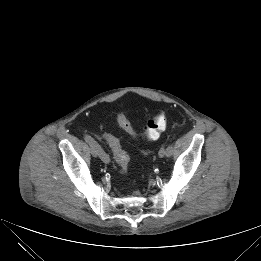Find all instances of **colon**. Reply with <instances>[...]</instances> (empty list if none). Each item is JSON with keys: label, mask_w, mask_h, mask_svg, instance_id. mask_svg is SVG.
<instances>
[{"label": "colon", "mask_w": 261, "mask_h": 261, "mask_svg": "<svg viewBox=\"0 0 261 261\" xmlns=\"http://www.w3.org/2000/svg\"><path fill=\"white\" fill-rule=\"evenodd\" d=\"M117 122L125 132L134 138L154 140L166 129L168 120L164 112H159L146 123L141 133L135 132L130 121L124 114L117 115ZM106 140L120 171L126 174L128 171L129 157L123 150L120 141L111 134L106 136Z\"/></svg>", "instance_id": "1"}]
</instances>
